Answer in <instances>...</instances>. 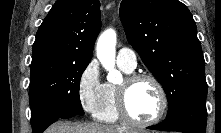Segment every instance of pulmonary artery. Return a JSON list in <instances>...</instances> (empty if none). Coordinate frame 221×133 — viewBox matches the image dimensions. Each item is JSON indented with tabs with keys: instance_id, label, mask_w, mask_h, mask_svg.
I'll use <instances>...</instances> for the list:
<instances>
[{
	"instance_id": "pulmonary-artery-1",
	"label": "pulmonary artery",
	"mask_w": 221,
	"mask_h": 133,
	"mask_svg": "<svg viewBox=\"0 0 221 133\" xmlns=\"http://www.w3.org/2000/svg\"><path fill=\"white\" fill-rule=\"evenodd\" d=\"M116 61L118 65L134 70L137 66V57L134 51L122 48L118 51Z\"/></svg>"
}]
</instances>
